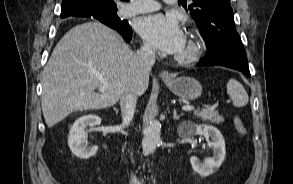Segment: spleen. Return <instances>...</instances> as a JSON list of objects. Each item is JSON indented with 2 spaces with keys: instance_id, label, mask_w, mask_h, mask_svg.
<instances>
[{
  "instance_id": "3e777b00",
  "label": "spleen",
  "mask_w": 293,
  "mask_h": 184,
  "mask_svg": "<svg viewBox=\"0 0 293 184\" xmlns=\"http://www.w3.org/2000/svg\"><path fill=\"white\" fill-rule=\"evenodd\" d=\"M227 93L233 101L235 107H243L249 101L248 94L243 85L236 79H230L227 83Z\"/></svg>"
}]
</instances>
